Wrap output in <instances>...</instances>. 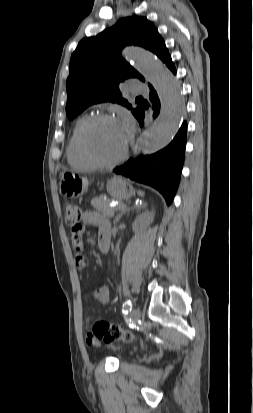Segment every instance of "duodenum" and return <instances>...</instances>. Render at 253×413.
Wrapping results in <instances>:
<instances>
[{
	"instance_id": "obj_1",
	"label": "duodenum",
	"mask_w": 253,
	"mask_h": 413,
	"mask_svg": "<svg viewBox=\"0 0 253 413\" xmlns=\"http://www.w3.org/2000/svg\"><path fill=\"white\" fill-rule=\"evenodd\" d=\"M99 249L102 253H107L110 247V235L109 233H102L99 235L98 241Z\"/></svg>"
}]
</instances>
